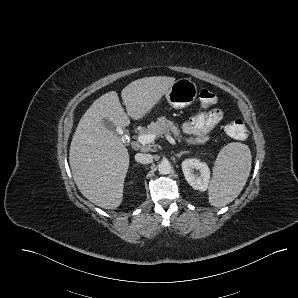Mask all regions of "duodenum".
<instances>
[{"label":"duodenum","instance_id":"duodenum-1","mask_svg":"<svg viewBox=\"0 0 298 298\" xmlns=\"http://www.w3.org/2000/svg\"><path fill=\"white\" fill-rule=\"evenodd\" d=\"M134 148L137 149L139 147V145L137 143H134Z\"/></svg>","mask_w":298,"mask_h":298}]
</instances>
